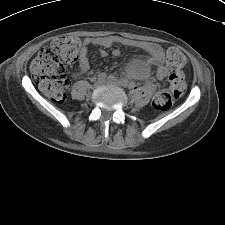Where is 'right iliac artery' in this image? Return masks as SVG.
Returning <instances> with one entry per match:
<instances>
[{"instance_id": "right-iliac-artery-1", "label": "right iliac artery", "mask_w": 225, "mask_h": 225, "mask_svg": "<svg viewBox=\"0 0 225 225\" xmlns=\"http://www.w3.org/2000/svg\"><path fill=\"white\" fill-rule=\"evenodd\" d=\"M106 77H107L106 73L102 72L98 74L97 79L103 81L106 79Z\"/></svg>"}]
</instances>
